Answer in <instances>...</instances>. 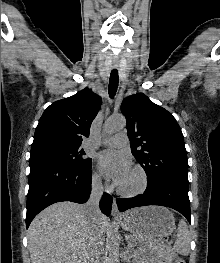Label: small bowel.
Here are the masks:
<instances>
[{
  "instance_id": "small-bowel-1",
  "label": "small bowel",
  "mask_w": 220,
  "mask_h": 263,
  "mask_svg": "<svg viewBox=\"0 0 220 263\" xmlns=\"http://www.w3.org/2000/svg\"><path fill=\"white\" fill-rule=\"evenodd\" d=\"M156 263H162V262H160V261H156Z\"/></svg>"
}]
</instances>
